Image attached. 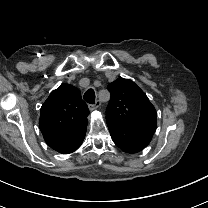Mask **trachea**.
Returning <instances> with one entry per match:
<instances>
[{
  "mask_svg": "<svg viewBox=\"0 0 208 208\" xmlns=\"http://www.w3.org/2000/svg\"><path fill=\"white\" fill-rule=\"evenodd\" d=\"M84 100L87 103L94 104L95 103V92L92 88L88 89L83 96Z\"/></svg>",
  "mask_w": 208,
  "mask_h": 208,
  "instance_id": "1",
  "label": "trachea"
}]
</instances>
